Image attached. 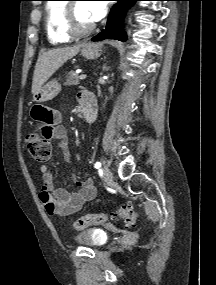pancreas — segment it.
<instances>
[{
  "instance_id": "1",
  "label": "pancreas",
  "mask_w": 216,
  "mask_h": 285,
  "mask_svg": "<svg viewBox=\"0 0 216 285\" xmlns=\"http://www.w3.org/2000/svg\"><path fill=\"white\" fill-rule=\"evenodd\" d=\"M80 76L76 74L74 71H71L67 74V79L64 82L65 86H70V85H78L79 84V78Z\"/></svg>"
}]
</instances>
